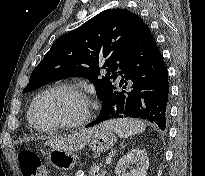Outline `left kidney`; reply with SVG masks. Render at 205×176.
<instances>
[{"instance_id": "1", "label": "left kidney", "mask_w": 205, "mask_h": 176, "mask_svg": "<svg viewBox=\"0 0 205 176\" xmlns=\"http://www.w3.org/2000/svg\"><path fill=\"white\" fill-rule=\"evenodd\" d=\"M149 167L147 153L139 148L130 150L115 168L116 176H146ZM129 169V172H127Z\"/></svg>"}]
</instances>
